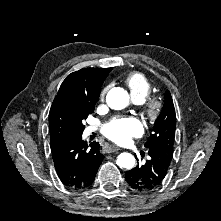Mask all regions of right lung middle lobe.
Wrapping results in <instances>:
<instances>
[{"mask_svg":"<svg viewBox=\"0 0 221 221\" xmlns=\"http://www.w3.org/2000/svg\"><path fill=\"white\" fill-rule=\"evenodd\" d=\"M95 104L85 100H78L73 102V109L75 113V134L80 135L83 133L85 126L82 121L93 113Z\"/></svg>","mask_w":221,"mask_h":221,"instance_id":"obj_1","label":"right lung middle lobe"}]
</instances>
